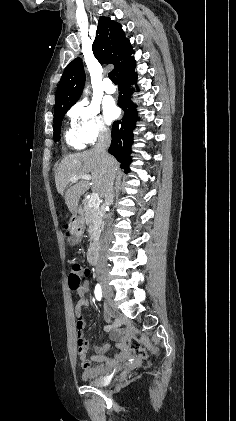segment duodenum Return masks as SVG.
<instances>
[{
	"mask_svg": "<svg viewBox=\"0 0 236 421\" xmlns=\"http://www.w3.org/2000/svg\"><path fill=\"white\" fill-rule=\"evenodd\" d=\"M87 256H88V260L90 261L91 264H93V265L97 264V262H98V252H97L96 245L94 243H92L90 245V247L88 249ZM120 345L122 347L125 346L123 341L120 343ZM104 350H106L105 347H104ZM123 359H124V354H120L115 359H109L104 354L95 355V356L92 357V360L97 361V362H104V363H106V367L94 368V369H92V373L93 374H99V373L110 372Z\"/></svg>",
	"mask_w": 236,
	"mask_h": 421,
	"instance_id": "duodenum-1",
	"label": "duodenum"
}]
</instances>
